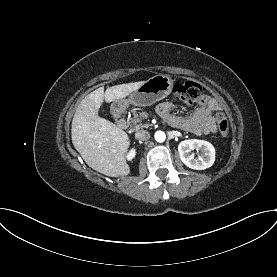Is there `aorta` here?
Here are the masks:
<instances>
[{"instance_id":"obj_1","label":"aorta","mask_w":277,"mask_h":277,"mask_svg":"<svg viewBox=\"0 0 277 277\" xmlns=\"http://www.w3.org/2000/svg\"><path fill=\"white\" fill-rule=\"evenodd\" d=\"M165 139H166V135H165V133L163 131H157L155 133V140L157 142H164Z\"/></svg>"}]
</instances>
